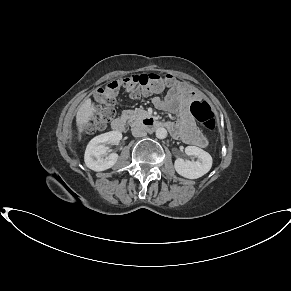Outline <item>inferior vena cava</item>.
Listing matches in <instances>:
<instances>
[{
	"label": "inferior vena cava",
	"mask_w": 291,
	"mask_h": 291,
	"mask_svg": "<svg viewBox=\"0 0 291 291\" xmlns=\"http://www.w3.org/2000/svg\"><path fill=\"white\" fill-rule=\"evenodd\" d=\"M132 135L134 137H143L147 135V130L143 125H139L132 129Z\"/></svg>",
	"instance_id": "inferior-vena-cava-1"
}]
</instances>
